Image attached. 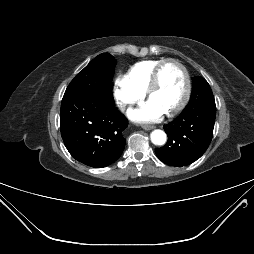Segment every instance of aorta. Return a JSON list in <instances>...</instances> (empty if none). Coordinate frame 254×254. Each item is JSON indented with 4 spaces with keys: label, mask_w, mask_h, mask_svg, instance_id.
Listing matches in <instances>:
<instances>
[{
    "label": "aorta",
    "mask_w": 254,
    "mask_h": 254,
    "mask_svg": "<svg viewBox=\"0 0 254 254\" xmlns=\"http://www.w3.org/2000/svg\"><path fill=\"white\" fill-rule=\"evenodd\" d=\"M151 141L155 145H163L166 142V134L162 130H154L151 133Z\"/></svg>",
    "instance_id": "aorta-1"
}]
</instances>
